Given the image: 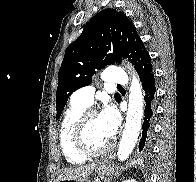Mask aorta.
Returning <instances> with one entry per match:
<instances>
[{
  "label": "aorta",
  "mask_w": 196,
  "mask_h": 182,
  "mask_svg": "<svg viewBox=\"0 0 196 182\" xmlns=\"http://www.w3.org/2000/svg\"><path fill=\"white\" fill-rule=\"evenodd\" d=\"M142 115V86L136 74L132 72L126 123L118 148V159L120 161L126 160L135 147L141 128Z\"/></svg>",
  "instance_id": "762f6f07"
}]
</instances>
